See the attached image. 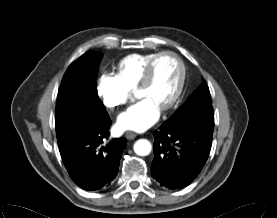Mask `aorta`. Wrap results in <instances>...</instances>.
<instances>
[{
	"label": "aorta",
	"instance_id": "1",
	"mask_svg": "<svg viewBox=\"0 0 277 218\" xmlns=\"http://www.w3.org/2000/svg\"><path fill=\"white\" fill-rule=\"evenodd\" d=\"M152 145L146 139H139L134 144V152L139 156H146L151 152Z\"/></svg>",
	"mask_w": 277,
	"mask_h": 218
}]
</instances>
